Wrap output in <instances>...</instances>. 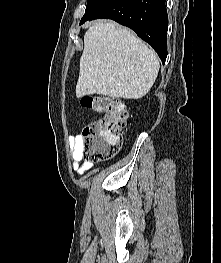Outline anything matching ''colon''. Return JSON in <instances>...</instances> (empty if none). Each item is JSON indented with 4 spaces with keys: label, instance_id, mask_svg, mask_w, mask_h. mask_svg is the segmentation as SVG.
I'll return each mask as SVG.
<instances>
[{
    "label": "colon",
    "instance_id": "5ec220e1",
    "mask_svg": "<svg viewBox=\"0 0 221 263\" xmlns=\"http://www.w3.org/2000/svg\"><path fill=\"white\" fill-rule=\"evenodd\" d=\"M81 105L101 114L84 129L83 157L96 161L114 156L128 118L125 105L118 99L104 95H85L81 98Z\"/></svg>",
    "mask_w": 221,
    "mask_h": 263
}]
</instances>
